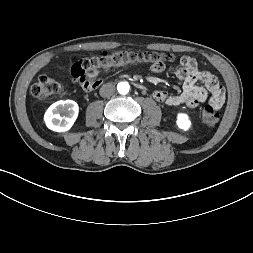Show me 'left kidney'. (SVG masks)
I'll return each mask as SVG.
<instances>
[{
	"label": "left kidney",
	"instance_id": "1",
	"mask_svg": "<svg viewBox=\"0 0 253 253\" xmlns=\"http://www.w3.org/2000/svg\"><path fill=\"white\" fill-rule=\"evenodd\" d=\"M177 125L184 131L188 130L191 127L189 116L185 113H179L177 115Z\"/></svg>",
	"mask_w": 253,
	"mask_h": 253
}]
</instances>
